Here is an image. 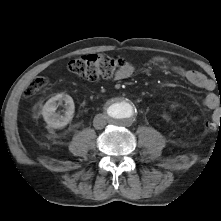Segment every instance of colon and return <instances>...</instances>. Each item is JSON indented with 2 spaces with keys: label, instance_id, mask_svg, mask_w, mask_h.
Returning <instances> with one entry per match:
<instances>
[{
  "label": "colon",
  "instance_id": "1",
  "mask_svg": "<svg viewBox=\"0 0 221 221\" xmlns=\"http://www.w3.org/2000/svg\"><path fill=\"white\" fill-rule=\"evenodd\" d=\"M127 61L106 54H90L72 60L68 68L75 75L88 79L110 78L126 67ZM47 84V79L39 77L34 79L27 87L26 94L32 96L41 91ZM210 130L221 128V109L215 111L206 122Z\"/></svg>",
  "mask_w": 221,
  "mask_h": 221
}]
</instances>
